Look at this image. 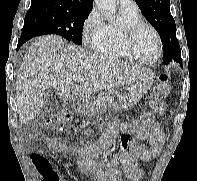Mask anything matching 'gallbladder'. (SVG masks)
Masks as SVG:
<instances>
[{
    "label": "gallbladder",
    "mask_w": 197,
    "mask_h": 181,
    "mask_svg": "<svg viewBox=\"0 0 197 181\" xmlns=\"http://www.w3.org/2000/svg\"><path fill=\"white\" fill-rule=\"evenodd\" d=\"M56 97H60L53 88H47L44 94V107L46 109L51 108L52 100L56 99Z\"/></svg>",
    "instance_id": "gallbladder-1"
}]
</instances>
